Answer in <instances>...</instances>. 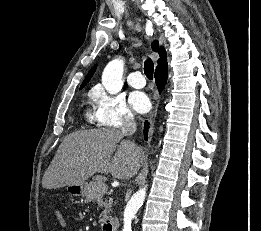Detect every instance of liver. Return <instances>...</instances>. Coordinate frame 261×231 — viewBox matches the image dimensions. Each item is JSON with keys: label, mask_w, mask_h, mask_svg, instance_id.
<instances>
[{"label": "liver", "mask_w": 261, "mask_h": 231, "mask_svg": "<svg viewBox=\"0 0 261 231\" xmlns=\"http://www.w3.org/2000/svg\"><path fill=\"white\" fill-rule=\"evenodd\" d=\"M114 128L78 131L66 136L44 173L42 186L56 189L83 184L96 172L117 179L137 174L145 159L134 143Z\"/></svg>", "instance_id": "obj_1"}]
</instances>
